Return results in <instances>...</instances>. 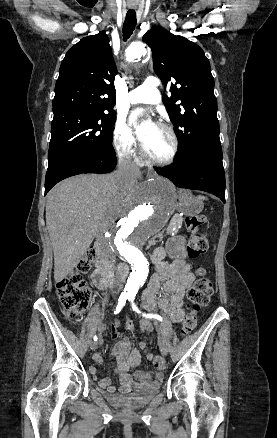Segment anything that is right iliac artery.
Returning <instances> with one entry per match:
<instances>
[{
    "label": "right iliac artery",
    "instance_id": "obj_1",
    "mask_svg": "<svg viewBox=\"0 0 277 438\" xmlns=\"http://www.w3.org/2000/svg\"><path fill=\"white\" fill-rule=\"evenodd\" d=\"M127 299H128L127 295H124V294L120 295L119 300H118V305H117L116 310L114 312L115 314L119 313L122 310ZM93 339H94V341H97L98 338H97V336H94Z\"/></svg>",
    "mask_w": 277,
    "mask_h": 438
}]
</instances>
